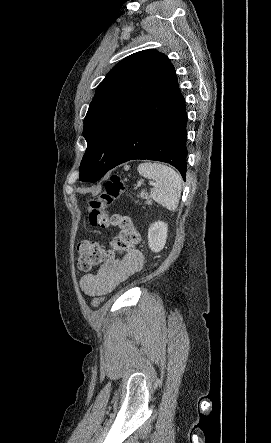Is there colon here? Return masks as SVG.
Returning <instances> with one entry per match:
<instances>
[{"label":"colon","instance_id":"colon-1","mask_svg":"<svg viewBox=\"0 0 271 443\" xmlns=\"http://www.w3.org/2000/svg\"><path fill=\"white\" fill-rule=\"evenodd\" d=\"M125 191L123 181L116 175L111 176L104 184L103 191L88 200L89 222L94 227L107 228L116 226L118 234L112 239L110 248L89 240L79 242L78 267L82 271H90L108 259L113 253H124L133 249L139 242V235L130 217L120 214L110 215L108 207L117 201ZM103 302L102 296L93 298L91 305L97 308Z\"/></svg>","mask_w":271,"mask_h":443}]
</instances>
